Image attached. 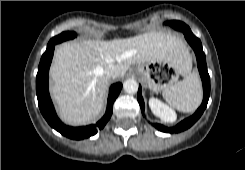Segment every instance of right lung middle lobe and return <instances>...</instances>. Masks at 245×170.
Segmentation results:
<instances>
[{
  "instance_id": "dd1d6c3e",
  "label": "right lung middle lobe",
  "mask_w": 245,
  "mask_h": 170,
  "mask_svg": "<svg viewBox=\"0 0 245 170\" xmlns=\"http://www.w3.org/2000/svg\"><path fill=\"white\" fill-rule=\"evenodd\" d=\"M75 37H76L75 32L66 31V32L61 33L58 36L53 37L49 41L48 44H57V43L63 42V41L68 40V39H73Z\"/></svg>"
}]
</instances>
